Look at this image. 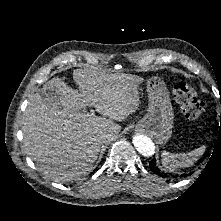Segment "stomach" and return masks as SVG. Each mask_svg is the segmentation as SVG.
Instances as JSON below:
<instances>
[{
	"instance_id": "1",
	"label": "stomach",
	"mask_w": 221,
	"mask_h": 221,
	"mask_svg": "<svg viewBox=\"0 0 221 221\" xmlns=\"http://www.w3.org/2000/svg\"><path fill=\"white\" fill-rule=\"evenodd\" d=\"M148 109L136 124V130L151 135L158 144L164 145L172 135L173 108L164 82L157 76L147 82Z\"/></svg>"
}]
</instances>
